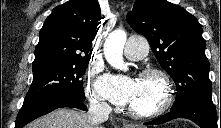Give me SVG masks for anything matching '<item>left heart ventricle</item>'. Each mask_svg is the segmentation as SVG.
<instances>
[{"mask_svg":"<svg viewBox=\"0 0 221 128\" xmlns=\"http://www.w3.org/2000/svg\"><path fill=\"white\" fill-rule=\"evenodd\" d=\"M160 92L159 83L153 79H141L138 91L130 106L136 109L150 108Z\"/></svg>","mask_w":221,"mask_h":128,"instance_id":"b2bd125f","label":"left heart ventricle"}]
</instances>
